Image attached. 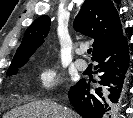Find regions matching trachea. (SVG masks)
Segmentation results:
<instances>
[{
    "label": "trachea",
    "mask_w": 133,
    "mask_h": 118,
    "mask_svg": "<svg viewBox=\"0 0 133 118\" xmlns=\"http://www.w3.org/2000/svg\"><path fill=\"white\" fill-rule=\"evenodd\" d=\"M91 52H92V49L91 48L87 50V53L88 54H91Z\"/></svg>",
    "instance_id": "1"
}]
</instances>
